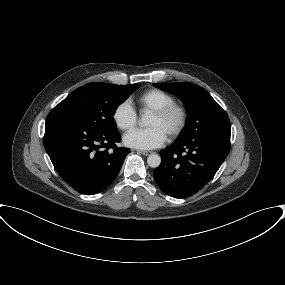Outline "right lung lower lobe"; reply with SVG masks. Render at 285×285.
I'll return each mask as SVG.
<instances>
[{
	"instance_id": "right-lung-lower-lobe-1",
	"label": "right lung lower lobe",
	"mask_w": 285,
	"mask_h": 285,
	"mask_svg": "<svg viewBox=\"0 0 285 285\" xmlns=\"http://www.w3.org/2000/svg\"><path fill=\"white\" fill-rule=\"evenodd\" d=\"M43 141L59 176L85 195L105 190L130 153V149L115 145L121 141L118 130L97 131L61 113L47 116Z\"/></svg>"
}]
</instances>
